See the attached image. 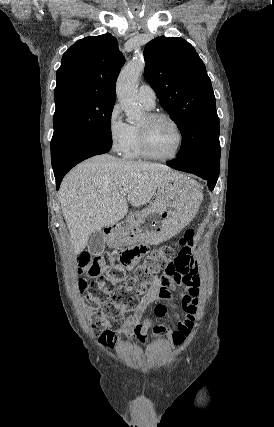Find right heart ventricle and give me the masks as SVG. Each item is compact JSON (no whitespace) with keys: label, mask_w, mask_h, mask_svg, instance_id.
Masks as SVG:
<instances>
[{"label":"right heart ventricle","mask_w":274,"mask_h":427,"mask_svg":"<svg viewBox=\"0 0 274 427\" xmlns=\"http://www.w3.org/2000/svg\"><path fill=\"white\" fill-rule=\"evenodd\" d=\"M122 156L128 160H142L145 158L138 147L136 126H130V138L122 151Z\"/></svg>","instance_id":"1"}]
</instances>
